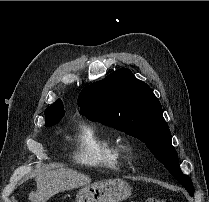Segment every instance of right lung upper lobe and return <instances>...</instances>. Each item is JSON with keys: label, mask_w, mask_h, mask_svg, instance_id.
I'll use <instances>...</instances> for the list:
<instances>
[{"label": "right lung upper lobe", "mask_w": 209, "mask_h": 202, "mask_svg": "<svg viewBox=\"0 0 209 202\" xmlns=\"http://www.w3.org/2000/svg\"><path fill=\"white\" fill-rule=\"evenodd\" d=\"M60 108H64L63 103L60 99H58L57 101H55V103H53L50 107H48L45 111V113L56 110V109H60ZM53 123V121H51L50 119L46 118V122H45V126H50Z\"/></svg>", "instance_id": "obj_1"}]
</instances>
